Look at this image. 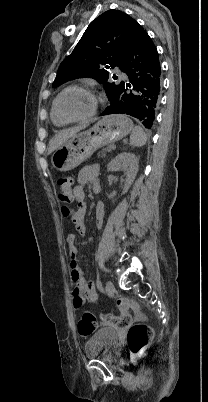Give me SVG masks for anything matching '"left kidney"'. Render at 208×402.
<instances>
[{
  "mask_svg": "<svg viewBox=\"0 0 208 402\" xmlns=\"http://www.w3.org/2000/svg\"><path fill=\"white\" fill-rule=\"evenodd\" d=\"M138 164L139 158H137L135 154H128V152L118 154V156L108 164V172H115V170L125 172L126 182L124 184L123 194H126L130 186H132L138 172Z\"/></svg>",
  "mask_w": 208,
  "mask_h": 402,
  "instance_id": "left-kidney-1",
  "label": "left kidney"
}]
</instances>
